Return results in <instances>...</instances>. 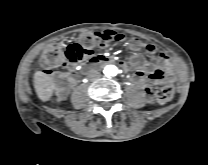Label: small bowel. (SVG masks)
<instances>
[{"instance_id":"obj_1","label":"small bowel","mask_w":208,"mask_h":165,"mask_svg":"<svg viewBox=\"0 0 208 165\" xmlns=\"http://www.w3.org/2000/svg\"><path fill=\"white\" fill-rule=\"evenodd\" d=\"M108 56L93 55L81 61L83 66L95 65L96 63H108ZM121 67L126 71H133L134 76L147 97L152 96V84H170L175 81V66L173 61L164 53L158 55L157 63L148 62L141 54H133L129 62H121ZM66 72L69 73V79H64L59 82L61 88L58 92L59 99H62L67 94V88L73 85V82L78 79L76 65L73 62H68L65 65Z\"/></svg>"}]
</instances>
